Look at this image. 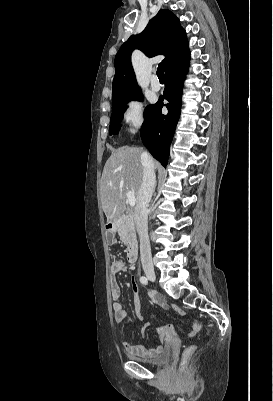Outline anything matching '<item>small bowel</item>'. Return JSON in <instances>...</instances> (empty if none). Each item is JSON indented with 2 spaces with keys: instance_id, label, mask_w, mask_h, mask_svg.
Masks as SVG:
<instances>
[{
  "instance_id": "obj_1",
  "label": "small bowel",
  "mask_w": 273,
  "mask_h": 401,
  "mask_svg": "<svg viewBox=\"0 0 273 401\" xmlns=\"http://www.w3.org/2000/svg\"><path fill=\"white\" fill-rule=\"evenodd\" d=\"M126 264L125 261L122 259H116L112 261L110 265V271L112 274V277L110 279V292H111V297H112V308H113V314H114V320L116 323H123L126 320L127 313L122 305V302L120 301L121 297V287L120 284L117 280L116 275L123 270H125ZM131 288L133 291V294L136 299V306H135V315L136 318L139 321H142L144 319L143 313L141 312L140 309V304L138 302L139 297H140V288L136 284L135 280L132 278L130 281ZM152 303L161 308V309H168L169 305L166 302L165 298L160 295V294H154L152 296ZM174 312L178 314L180 319H187L189 316V313L187 310H182L180 306H175L174 307ZM201 327L200 320L195 319L193 327L189 329L190 332V337L191 338H196L197 334L199 333V328ZM169 329H174L172 325H161L156 328L157 333L160 335L162 343L161 345L157 346L155 351H161V350H166L170 347L171 345V340L173 338L171 337H176L177 333L176 332H171L170 336L168 335V330ZM173 331V330H172ZM122 348L125 352L133 355H152L153 352H147L144 348L140 346H135L130 344L127 341L122 342Z\"/></svg>"
}]
</instances>
